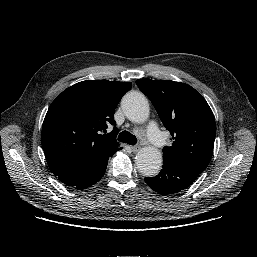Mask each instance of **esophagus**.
<instances>
[{
    "label": "esophagus",
    "instance_id": "esophagus-1",
    "mask_svg": "<svg viewBox=\"0 0 257 257\" xmlns=\"http://www.w3.org/2000/svg\"><path fill=\"white\" fill-rule=\"evenodd\" d=\"M140 146H131V150L132 152L136 153L137 151H139Z\"/></svg>",
    "mask_w": 257,
    "mask_h": 257
}]
</instances>
